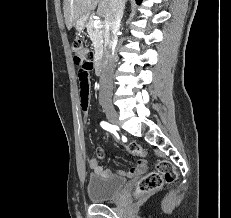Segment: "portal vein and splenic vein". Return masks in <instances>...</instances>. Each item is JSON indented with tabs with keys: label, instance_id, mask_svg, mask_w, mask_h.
Wrapping results in <instances>:
<instances>
[{
	"label": "portal vein and splenic vein",
	"instance_id": "18ae733b",
	"mask_svg": "<svg viewBox=\"0 0 231 218\" xmlns=\"http://www.w3.org/2000/svg\"><path fill=\"white\" fill-rule=\"evenodd\" d=\"M93 24H94V27H98V26L101 25V21L100 20H95Z\"/></svg>",
	"mask_w": 231,
	"mask_h": 218
}]
</instances>
